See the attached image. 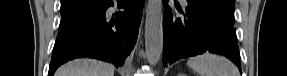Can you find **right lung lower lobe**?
I'll list each match as a JSON object with an SVG mask.
<instances>
[{
	"mask_svg": "<svg viewBox=\"0 0 287 76\" xmlns=\"http://www.w3.org/2000/svg\"><path fill=\"white\" fill-rule=\"evenodd\" d=\"M111 0H92L80 11L62 18L52 52L49 76L68 60L91 57L122 66L133 49L144 0H120L123 12L109 14Z\"/></svg>",
	"mask_w": 287,
	"mask_h": 76,
	"instance_id": "1",
	"label": "right lung lower lobe"
}]
</instances>
